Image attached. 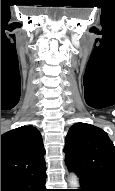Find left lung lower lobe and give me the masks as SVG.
Segmentation results:
<instances>
[{"instance_id": "left-lung-lower-lobe-1", "label": "left lung lower lobe", "mask_w": 115, "mask_h": 191, "mask_svg": "<svg viewBox=\"0 0 115 191\" xmlns=\"http://www.w3.org/2000/svg\"><path fill=\"white\" fill-rule=\"evenodd\" d=\"M80 188L72 191H115V186L96 178L79 176Z\"/></svg>"}]
</instances>
